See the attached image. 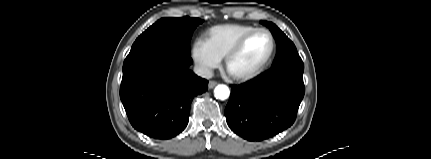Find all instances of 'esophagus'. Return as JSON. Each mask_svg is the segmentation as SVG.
Masks as SVG:
<instances>
[{
  "label": "esophagus",
  "instance_id": "1",
  "mask_svg": "<svg viewBox=\"0 0 431 159\" xmlns=\"http://www.w3.org/2000/svg\"><path fill=\"white\" fill-rule=\"evenodd\" d=\"M216 85H217V82H216V81H209V83H208V88H209V89H212V88H214Z\"/></svg>",
  "mask_w": 431,
  "mask_h": 159
}]
</instances>
